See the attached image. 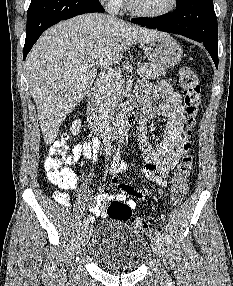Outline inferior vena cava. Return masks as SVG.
<instances>
[{"label":"inferior vena cava","mask_w":233,"mask_h":286,"mask_svg":"<svg viewBox=\"0 0 233 286\" xmlns=\"http://www.w3.org/2000/svg\"><path fill=\"white\" fill-rule=\"evenodd\" d=\"M109 87L110 81L108 79V75L102 72L99 75V78L96 81V98L98 103V113L100 118V129L110 132L109 129V105H110V98H109Z\"/></svg>","instance_id":"obj_1"}]
</instances>
